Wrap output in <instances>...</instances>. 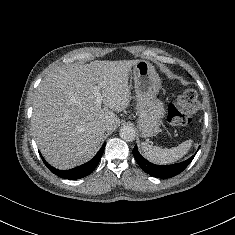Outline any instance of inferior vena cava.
Listing matches in <instances>:
<instances>
[{"label":"inferior vena cava","instance_id":"602c4592","mask_svg":"<svg viewBox=\"0 0 235 235\" xmlns=\"http://www.w3.org/2000/svg\"><path fill=\"white\" fill-rule=\"evenodd\" d=\"M107 125H102V129L106 130Z\"/></svg>","mask_w":235,"mask_h":235}]
</instances>
